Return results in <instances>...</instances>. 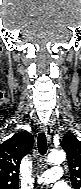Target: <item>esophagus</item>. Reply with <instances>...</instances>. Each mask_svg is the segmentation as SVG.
<instances>
[{"instance_id": "34e87169", "label": "esophagus", "mask_w": 81, "mask_h": 189, "mask_svg": "<svg viewBox=\"0 0 81 189\" xmlns=\"http://www.w3.org/2000/svg\"><path fill=\"white\" fill-rule=\"evenodd\" d=\"M40 129L45 133L48 140H50L52 134V126L48 123H44L40 126Z\"/></svg>"}]
</instances>
